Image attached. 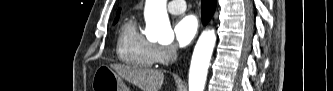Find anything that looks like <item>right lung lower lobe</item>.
I'll list each match as a JSON object with an SVG mask.
<instances>
[{"instance_id":"1","label":"right lung lower lobe","mask_w":333,"mask_h":91,"mask_svg":"<svg viewBox=\"0 0 333 91\" xmlns=\"http://www.w3.org/2000/svg\"><path fill=\"white\" fill-rule=\"evenodd\" d=\"M202 20L204 24H207L208 21L213 16V13L216 8V0H202Z\"/></svg>"}]
</instances>
